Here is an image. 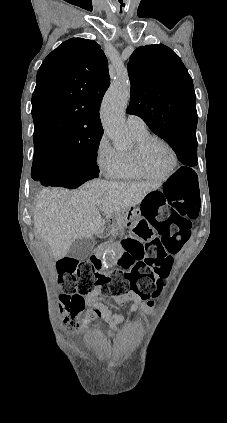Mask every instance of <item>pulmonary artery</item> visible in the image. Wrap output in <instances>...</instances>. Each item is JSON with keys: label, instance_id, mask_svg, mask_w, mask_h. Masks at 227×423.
Returning a JSON list of instances; mask_svg holds the SVG:
<instances>
[{"label": "pulmonary artery", "instance_id": "1", "mask_svg": "<svg viewBox=\"0 0 227 423\" xmlns=\"http://www.w3.org/2000/svg\"><path fill=\"white\" fill-rule=\"evenodd\" d=\"M126 127L129 131H145L146 124L142 118L136 115H128L126 119Z\"/></svg>", "mask_w": 227, "mask_h": 423}]
</instances>
